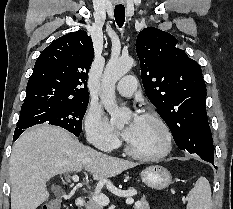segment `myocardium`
Segmentation results:
<instances>
[{"mask_svg":"<svg viewBox=\"0 0 233 209\" xmlns=\"http://www.w3.org/2000/svg\"><path fill=\"white\" fill-rule=\"evenodd\" d=\"M142 117L149 118L153 121H155L159 127L161 128L163 134H164V145L163 148L153 154H143L135 151L128 142L125 143V152L131 156L134 159L140 160V161H158L163 158H165L172 150L173 146V136L172 132L168 126V124L165 122V120L156 112L153 111H147L142 114Z\"/></svg>","mask_w":233,"mask_h":209,"instance_id":"1","label":"myocardium"}]
</instances>
